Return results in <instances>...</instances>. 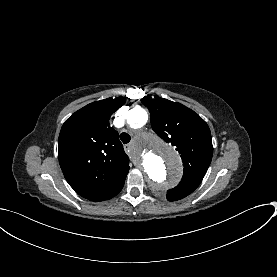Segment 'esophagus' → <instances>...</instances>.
<instances>
[{
  "mask_svg": "<svg viewBox=\"0 0 277 277\" xmlns=\"http://www.w3.org/2000/svg\"><path fill=\"white\" fill-rule=\"evenodd\" d=\"M133 163H134V165H136V166H138V167L141 166V162H140V161H134Z\"/></svg>",
  "mask_w": 277,
  "mask_h": 277,
  "instance_id": "1",
  "label": "esophagus"
}]
</instances>
